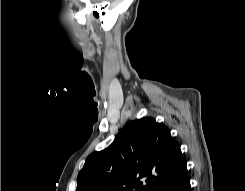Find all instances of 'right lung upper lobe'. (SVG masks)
Here are the masks:
<instances>
[{
  "label": "right lung upper lobe",
  "instance_id": "1",
  "mask_svg": "<svg viewBox=\"0 0 245 191\" xmlns=\"http://www.w3.org/2000/svg\"><path fill=\"white\" fill-rule=\"evenodd\" d=\"M185 167L168 129L141 118L127 123L109 147L87 157L76 191H154Z\"/></svg>",
  "mask_w": 245,
  "mask_h": 191
}]
</instances>
